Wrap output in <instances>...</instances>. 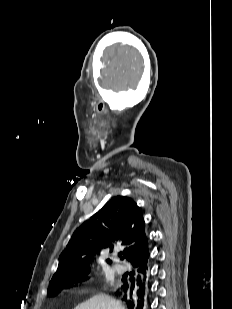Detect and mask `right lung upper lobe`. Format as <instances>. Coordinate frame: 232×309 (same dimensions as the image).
<instances>
[{
    "label": "right lung upper lobe",
    "instance_id": "cb5924a9",
    "mask_svg": "<svg viewBox=\"0 0 232 309\" xmlns=\"http://www.w3.org/2000/svg\"><path fill=\"white\" fill-rule=\"evenodd\" d=\"M124 248V258L131 264L149 253L142 210L131 199L117 196L73 233L59 258L50 286L57 282L80 280L90 272L89 264L102 250ZM110 263V260L107 259ZM56 296V295H55Z\"/></svg>",
    "mask_w": 232,
    "mask_h": 309
}]
</instances>
